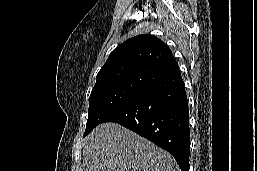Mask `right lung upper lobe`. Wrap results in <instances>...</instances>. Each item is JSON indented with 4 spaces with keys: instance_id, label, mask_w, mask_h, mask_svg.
Wrapping results in <instances>:
<instances>
[{
    "instance_id": "obj_1",
    "label": "right lung upper lobe",
    "mask_w": 257,
    "mask_h": 171,
    "mask_svg": "<svg viewBox=\"0 0 257 171\" xmlns=\"http://www.w3.org/2000/svg\"><path fill=\"white\" fill-rule=\"evenodd\" d=\"M179 72L170 48L154 35L132 37L117 46L97 74L94 88L142 84L147 88Z\"/></svg>"
}]
</instances>
